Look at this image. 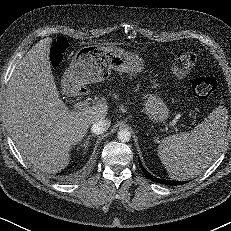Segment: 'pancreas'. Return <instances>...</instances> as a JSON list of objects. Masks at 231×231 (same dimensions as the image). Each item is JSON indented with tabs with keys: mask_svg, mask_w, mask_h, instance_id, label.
<instances>
[{
	"mask_svg": "<svg viewBox=\"0 0 231 231\" xmlns=\"http://www.w3.org/2000/svg\"><path fill=\"white\" fill-rule=\"evenodd\" d=\"M113 97L116 98V99H118V95L115 94V93L113 94Z\"/></svg>",
	"mask_w": 231,
	"mask_h": 231,
	"instance_id": "obj_1",
	"label": "pancreas"
}]
</instances>
